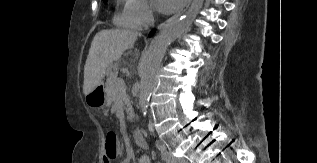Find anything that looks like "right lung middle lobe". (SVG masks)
Returning a JSON list of instances; mask_svg holds the SVG:
<instances>
[{
	"instance_id": "obj_1",
	"label": "right lung middle lobe",
	"mask_w": 317,
	"mask_h": 163,
	"mask_svg": "<svg viewBox=\"0 0 317 163\" xmlns=\"http://www.w3.org/2000/svg\"><path fill=\"white\" fill-rule=\"evenodd\" d=\"M105 3L108 1V0H103Z\"/></svg>"
}]
</instances>
